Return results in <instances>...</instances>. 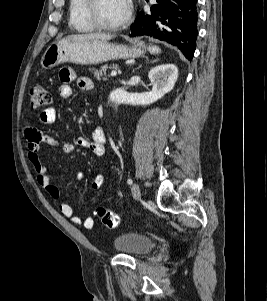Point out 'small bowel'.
<instances>
[{
	"label": "small bowel",
	"instance_id": "small-bowel-1",
	"mask_svg": "<svg viewBox=\"0 0 267 301\" xmlns=\"http://www.w3.org/2000/svg\"><path fill=\"white\" fill-rule=\"evenodd\" d=\"M59 76L62 84L58 88V94L61 99H69L72 96L70 83L73 81L76 82L77 87L82 91L93 89V82L90 78L77 76L70 68H63ZM55 119L56 111L54 108H46L39 115V123L41 125H50L54 123ZM24 134L27 142L28 158L36 173L37 182L54 199H58L60 193L59 189L52 183L47 174V169L41 160V144L45 143L53 147H59L64 153H71L76 148H88L97 156H103L106 152L107 136L102 127L93 129L91 139L80 136L71 142H63L61 144L56 139L43 134V132L34 126H26ZM75 178L79 182L84 178V174L78 172ZM59 210L63 216L69 218L75 225H82L86 229H91L94 225V220L91 217L82 220L75 215L73 205L68 202H61Z\"/></svg>",
	"mask_w": 267,
	"mask_h": 301
}]
</instances>
